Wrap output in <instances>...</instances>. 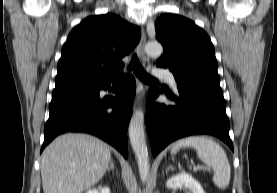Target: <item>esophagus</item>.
<instances>
[{"label": "esophagus", "instance_id": "34e87169", "mask_svg": "<svg viewBox=\"0 0 277 193\" xmlns=\"http://www.w3.org/2000/svg\"><path fill=\"white\" fill-rule=\"evenodd\" d=\"M145 42H146V35L143 29H141V39H140V43L138 46V53L140 58L145 61L146 60V55H145V51H144V46H145ZM143 98H144V89L143 87H140L135 103H134V107H140L143 103Z\"/></svg>", "mask_w": 277, "mask_h": 193}]
</instances>
